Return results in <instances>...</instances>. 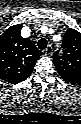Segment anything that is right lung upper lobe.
Returning <instances> with one entry per match:
<instances>
[{
	"mask_svg": "<svg viewBox=\"0 0 81 124\" xmlns=\"http://www.w3.org/2000/svg\"><path fill=\"white\" fill-rule=\"evenodd\" d=\"M21 29L22 25H14L0 36V78L9 84L26 80L42 55L31 40L21 36Z\"/></svg>",
	"mask_w": 81,
	"mask_h": 124,
	"instance_id": "obj_1",
	"label": "right lung upper lobe"
}]
</instances>
